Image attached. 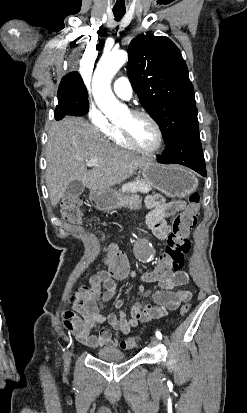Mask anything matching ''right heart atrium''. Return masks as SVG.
Segmentation results:
<instances>
[{"mask_svg": "<svg viewBox=\"0 0 247 413\" xmlns=\"http://www.w3.org/2000/svg\"><path fill=\"white\" fill-rule=\"evenodd\" d=\"M87 116L89 119H93L97 133H109L112 129L116 128L112 126L109 120L106 119V116L103 115V107L101 105H90Z\"/></svg>", "mask_w": 247, "mask_h": 413, "instance_id": "right-heart-atrium-1", "label": "right heart atrium"}]
</instances>
